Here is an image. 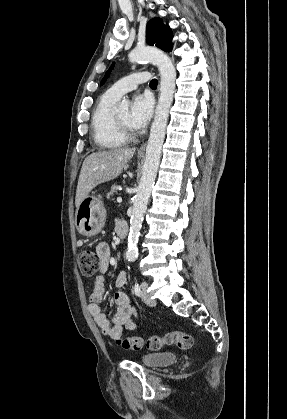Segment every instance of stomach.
<instances>
[{
	"label": "stomach",
	"instance_id": "1",
	"mask_svg": "<svg viewBox=\"0 0 287 419\" xmlns=\"http://www.w3.org/2000/svg\"><path fill=\"white\" fill-rule=\"evenodd\" d=\"M106 210L99 197L89 195L82 200L75 213V225L86 237L97 235L104 227Z\"/></svg>",
	"mask_w": 287,
	"mask_h": 419
}]
</instances>
